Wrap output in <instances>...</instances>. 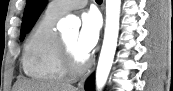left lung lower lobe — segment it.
<instances>
[{"instance_id":"0a47b994","label":"left lung lower lobe","mask_w":173,"mask_h":91,"mask_svg":"<svg viewBox=\"0 0 173 91\" xmlns=\"http://www.w3.org/2000/svg\"><path fill=\"white\" fill-rule=\"evenodd\" d=\"M94 90V78L91 77L88 80L87 86H86V91H93Z\"/></svg>"}]
</instances>
